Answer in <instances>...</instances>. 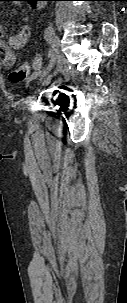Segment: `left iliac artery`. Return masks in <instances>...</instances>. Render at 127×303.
Masks as SVG:
<instances>
[{"label":"left iliac artery","instance_id":"1","mask_svg":"<svg viewBox=\"0 0 127 303\" xmlns=\"http://www.w3.org/2000/svg\"><path fill=\"white\" fill-rule=\"evenodd\" d=\"M53 35H54V29H53V27L50 25V26H48V27L46 28V30H45L44 38H45L46 41H50L51 38L53 37ZM53 60H54V56L52 55L51 62H53Z\"/></svg>","mask_w":127,"mask_h":303}]
</instances>
